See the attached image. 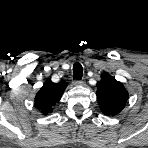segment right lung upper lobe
<instances>
[{"mask_svg": "<svg viewBox=\"0 0 148 148\" xmlns=\"http://www.w3.org/2000/svg\"><path fill=\"white\" fill-rule=\"evenodd\" d=\"M67 87L65 81L53 83L48 79L35 97V107L44 115L51 113Z\"/></svg>", "mask_w": 148, "mask_h": 148, "instance_id": "right-lung-upper-lobe-1", "label": "right lung upper lobe"}]
</instances>
